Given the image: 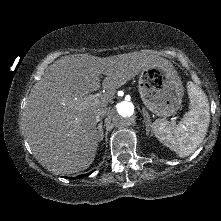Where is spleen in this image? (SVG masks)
<instances>
[{
	"mask_svg": "<svg viewBox=\"0 0 221 221\" xmlns=\"http://www.w3.org/2000/svg\"><path fill=\"white\" fill-rule=\"evenodd\" d=\"M189 111L178 125L164 119L153 123L156 138L179 157L192 154L202 143L210 122L209 102L204 91L193 82L187 83Z\"/></svg>",
	"mask_w": 221,
	"mask_h": 221,
	"instance_id": "spleen-1",
	"label": "spleen"
}]
</instances>
